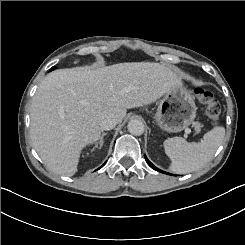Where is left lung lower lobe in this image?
<instances>
[{
	"label": "left lung lower lobe",
	"instance_id": "obj_1",
	"mask_svg": "<svg viewBox=\"0 0 245 245\" xmlns=\"http://www.w3.org/2000/svg\"><path fill=\"white\" fill-rule=\"evenodd\" d=\"M145 159H146L147 163L150 165V167L153 168L154 170H156V171H158V172H161V173H164V174H169V173H166V172H164V171L158 169L157 167H155V166H154V165L147 159L146 156H145Z\"/></svg>",
	"mask_w": 245,
	"mask_h": 245
}]
</instances>
